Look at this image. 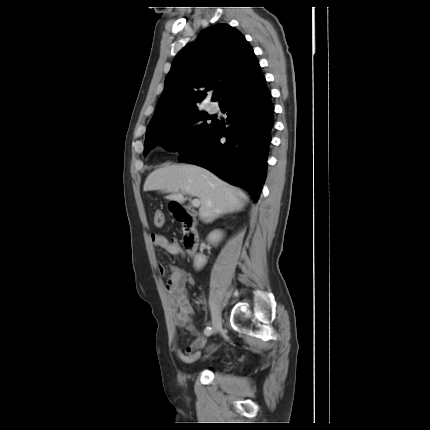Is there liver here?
Returning a JSON list of instances; mask_svg holds the SVG:
<instances>
[{
  "label": "liver",
  "instance_id": "obj_1",
  "mask_svg": "<svg viewBox=\"0 0 430 430\" xmlns=\"http://www.w3.org/2000/svg\"><path fill=\"white\" fill-rule=\"evenodd\" d=\"M143 190L170 192L166 198L178 203L185 201V194L199 198V216L204 222L244 206L242 195L234 187L195 165H166L157 169L148 175Z\"/></svg>",
  "mask_w": 430,
  "mask_h": 430
}]
</instances>
